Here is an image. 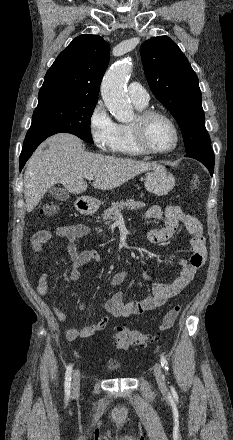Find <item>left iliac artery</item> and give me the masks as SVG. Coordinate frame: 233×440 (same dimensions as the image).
<instances>
[{
  "mask_svg": "<svg viewBox=\"0 0 233 440\" xmlns=\"http://www.w3.org/2000/svg\"><path fill=\"white\" fill-rule=\"evenodd\" d=\"M161 365L165 369V371H168V361L164 356H161Z\"/></svg>",
  "mask_w": 233,
  "mask_h": 440,
  "instance_id": "left-iliac-artery-1",
  "label": "left iliac artery"
}]
</instances>
